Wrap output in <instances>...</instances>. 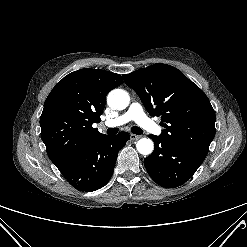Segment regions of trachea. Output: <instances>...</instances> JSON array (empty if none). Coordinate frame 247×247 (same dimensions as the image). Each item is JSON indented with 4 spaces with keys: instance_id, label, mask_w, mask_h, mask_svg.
Returning a JSON list of instances; mask_svg holds the SVG:
<instances>
[{
    "instance_id": "trachea-1",
    "label": "trachea",
    "mask_w": 247,
    "mask_h": 247,
    "mask_svg": "<svg viewBox=\"0 0 247 247\" xmlns=\"http://www.w3.org/2000/svg\"><path fill=\"white\" fill-rule=\"evenodd\" d=\"M132 133L136 134V135H141L143 133V130L137 126H133L131 128ZM118 132V128H109L107 130V133L110 134H116Z\"/></svg>"
}]
</instances>
